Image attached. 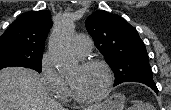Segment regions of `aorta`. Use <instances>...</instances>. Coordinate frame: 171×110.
I'll use <instances>...</instances> for the list:
<instances>
[{
    "instance_id": "1",
    "label": "aorta",
    "mask_w": 171,
    "mask_h": 110,
    "mask_svg": "<svg viewBox=\"0 0 171 110\" xmlns=\"http://www.w3.org/2000/svg\"><path fill=\"white\" fill-rule=\"evenodd\" d=\"M73 30L74 23L70 20H64L49 39V55L61 75L72 72L76 66V60L71 53Z\"/></svg>"
}]
</instances>
